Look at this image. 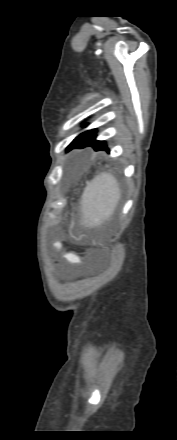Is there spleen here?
Segmentation results:
<instances>
[{
	"label": "spleen",
	"mask_w": 177,
	"mask_h": 440,
	"mask_svg": "<svg viewBox=\"0 0 177 440\" xmlns=\"http://www.w3.org/2000/svg\"><path fill=\"white\" fill-rule=\"evenodd\" d=\"M120 199V189L113 175L102 173L86 187L81 200V224L100 225L114 212Z\"/></svg>",
	"instance_id": "3e777b00"
}]
</instances>
